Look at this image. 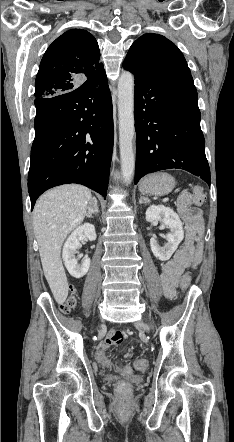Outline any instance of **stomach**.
<instances>
[{
	"label": "stomach",
	"instance_id": "0dacf381",
	"mask_svg": "<svg viewBox=\"0 0 234 442\" xmlns=\"http://www.w3.org/2000/svg\"><path fill=\"white\" fill-rule=\"evenodd\" d=\"M175 179L168 173L158 172L145 177L139 185L143 194L164 196L169 194L175 187Z\"/></svg>",
	"mask_w": 234,
	"mask_h": 442
}]
</instances>
